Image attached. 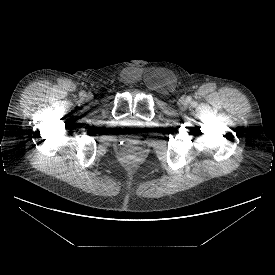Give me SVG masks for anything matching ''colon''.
<instances>
[{"label": "colon", "instance_id": "colon-1", "mask_svg": "<svg viewBox=\"0 0 275 275\" xmlns=\"http://www.w3.org/2000/svg\"><path fill=\"white\" fill-rule=\"evenodd\" d=\"M142 153L138 147L132 146L123 154V160L127 164H136L141 161Z\"/></svg>", "mask_w": 275, "mask_h": 275}]
</instances>
